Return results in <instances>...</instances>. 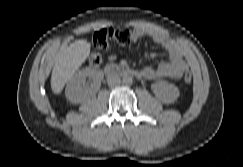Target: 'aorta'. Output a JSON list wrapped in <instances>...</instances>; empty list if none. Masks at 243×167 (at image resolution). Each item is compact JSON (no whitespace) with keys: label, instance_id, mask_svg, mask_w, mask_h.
Returning a JSON list of instances; mask_svg holds the SVG:
<instances>
[{"label":"aorta","instance_id":"obj_1","mask_svg":"<svg viewBox=\"0 0 243 167\" xmlns=\"http://www.w3.org/2000/svg\"><path fill=\"white\" fill-rule=\"evenodd\" d=\"M122 82L126 85H130L133 82V78L130 74H125L122 78Z\"/></svg>","mask_w":243,"mask_h":167}]
</instances>
